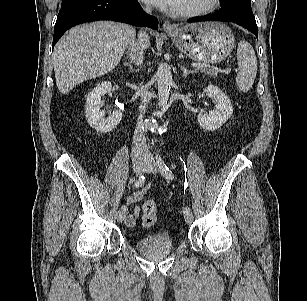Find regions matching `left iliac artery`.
I'll return each instance as SVG.
<instances>
[{
  "label": "left iliac artery",
  "instance_id": "left-iliac-artery-1",
  "mask_svg": "<svg viewBox=\"0 0 307 301\" xmlns=\"http://www.w3.org/2000/svg\"><path fill=\"white\" fill-rule=\"evenodd\" d=\"M157 164L160 169L161 174L167 178V179H174V174L172 171L168 168V166L165 164V162L162 160L160 155L156 156ZM184 214L190 212L189 207H185L183 210Z\"/></svg>",
  "mask_w": 307,
  "mask_h": 301
}]
</instances>
